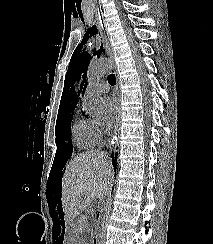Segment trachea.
<instances>
[{
	"label": "trachea",
	"mask_w": 213,
	"mask_h": 244,
	"mask_svg": "<svg viewBox=\"0 0 213 244\" xmlns=\"http://www.w3.org/2000/svg\"><path fill=\"white\" fill-rule=\"evenodd\" d=\"M107 80H108V83L110 85H115L116 84V78H115V75L114 74H110L108 77H107Z\"/></svg>",
	"instance_id": "1"
}]
</instances>
